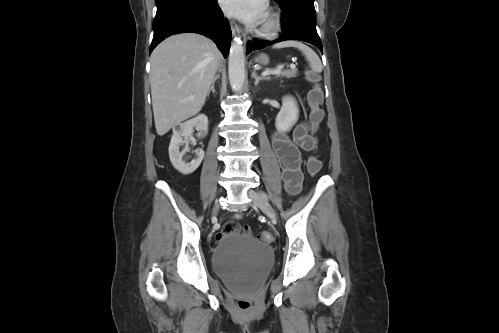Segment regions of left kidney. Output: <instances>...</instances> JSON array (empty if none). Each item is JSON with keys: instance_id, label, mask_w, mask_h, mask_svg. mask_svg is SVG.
<instances>
[{"instance_id": "5707ae66", "label": "left kidney", "mask_w": 499, "mask_h": 333, "mask_svg": "<svg viewBox=\"0 0 499 333\" xmlns=\"http://www.w3.org/2000/svg\"><path fill=\"white\" fill-rule=\"evenodd\" d=\"M299 109L294 98L286 96L282 100V107L276 117L275 126L278 131L287 132L297 122Z\"/></svg>"}]
</instances>
